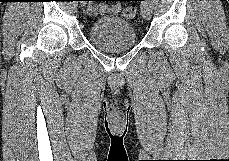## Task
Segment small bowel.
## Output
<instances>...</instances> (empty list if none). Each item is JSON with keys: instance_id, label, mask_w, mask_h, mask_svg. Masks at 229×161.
Returning a JSON list of instances; mask_svg holds the SVG:
<instances>
[{"instance_id": "small-bowel-1", "label": "small bowel", "mask_w": 229, "mask_h": 161, "mask_svg": "<svg viewBox=\"0 0 229 161\" xmlns=\"http://www.w3.org/2000/svg\"><path fill=\"white\" fill-rule=\"evenodd\" d=\"M119 7H120V4L119 3H115L111 6H109L106 11L110 14H114V13H117L119 11ZM90 12L94 13V12H97L96 8H91L90 9Z\"/></svg>"}]
</instances>
